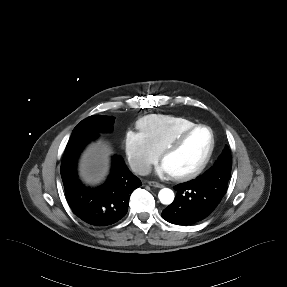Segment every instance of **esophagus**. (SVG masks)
Returning <instances> with one entry per match:
<instances>
[{
	"mask_svg": "<svg viewBox=\"0 0 287 287\" xmlns=\"http://www.w3.org/2000/svg\"><path fill=\"white\" fill-rule=\"evenodd\" d=\"M148 184L152 187H156V188H163L164 185L158 183V182H155V181H149Z\"/></svg>",
	"mask_w": 287,
	"mask_h": 287,
	"instance_id": "esophagus-1",
	"label": "esophagus"
}]
</instances>
